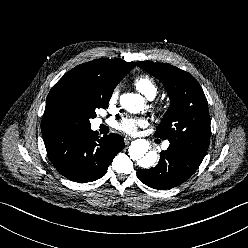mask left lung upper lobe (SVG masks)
<instances>
[{
  "label": "left lung upper lobe",
  "instance_id": "left-lung-upper-lobe-1",
  "mask_svg": "<svg viewBox=\"0 0 248 248\" xmlns=\"http://www.w3.org/2000/svg\"><path fill=\"white\" fill-rule=\"evenodd\" d=\"M138 65L164 84L171 100L155 136L204 158L211 130L208 103L199 83L189 73L167 63L141 61Z\"/></svg>",
  "mask_w": 248,
  "mask_h": 248
}]
</instances>
